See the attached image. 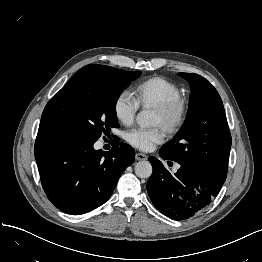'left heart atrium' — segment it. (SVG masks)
<instances>
[{"label": "left heart atrium", "instance_id": "obj_1", "mask_svg": "<svg viewBox=\"0 0 262 262\" xmlns=\"http://www.w3.org/2000/svg\"><path fill=\"white\" fill-rule=\"evenodd\" d=\"M165 138V131L162 125L152 128H132L125 133V139L132 146L143 150L150 151L156 144L161 143Z\"/></svg>", "mask_w": 262, "mask_h": 262}]
</instances>
